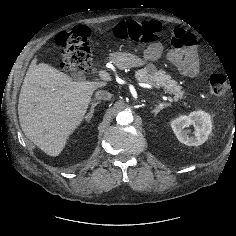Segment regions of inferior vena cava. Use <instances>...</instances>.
<instances>
[{"label": "inferior vena cava", "mask_w": 236, "mask_h": 236, "mask_svg": "<svg viewBox=\"0 0 236 236\" xmlns=\"http://www.w3.org/2000/svg\"><path fill=\"white\" fill-rule=\"evenodd\" d=\"M95 98L97 100H110L112 98V94L106 90H98L95 94Z\"/></svg>", "instance_id": "obj_1"}]
</instances>
